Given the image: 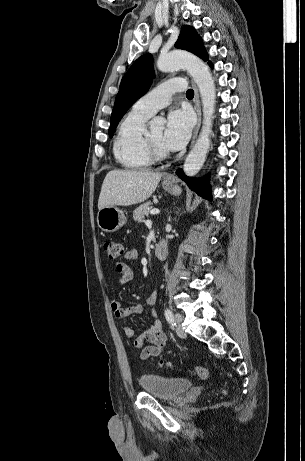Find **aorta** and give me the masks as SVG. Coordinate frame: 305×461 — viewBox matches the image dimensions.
<instances>
[{"label": "aorta", "instance_id": "762f6f07", "mask_svg": "<svg viewBox=\"0 0 305 461\" xmlns=\"http://www.w3.org/2000/svg\"><path fill=\"white\" fill-rule=\"evenodd\" d=\"M157 67L162 72H168L177 68H185L199 88L203 106V126L183 166L187 176H194L199 172L205 162L210 146V133L216 102L214 80L209 67L201 59L182 51H173L161 55L157 61ZM165 122L164 118L155 117L151 121V124L152 126L161 127Z\"/></svg>", "mask_w": 305, "mask_h": 461}]
</instances>
